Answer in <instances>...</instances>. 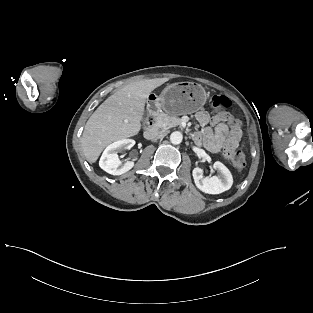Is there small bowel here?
I'll use <instances>...</instances> for the list:
<instances>
[{
  "instance_id": "obj_1",
  "label": "small bowel",
  "mask_w": 313,
  "mask_h": 313,
  "mask_svg": "<svg viewBox=\"0 0 313 313\" xmlns=\"http://www.w3.org/2000/svg\"><path fill=\"white\" fill-rule=\"evenodd\" d=\"M202 129L194 134L196 142L203 144L208 150L218 152L223 147H237L241 140V123L230 113H219L210 116L206 111L196 114Z\"/></svg>"
}]
</instances>
